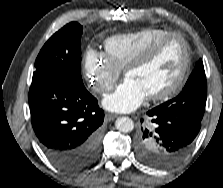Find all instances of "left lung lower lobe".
Here are the masks:
<instances>
[{
    "label": "left lung lower lobe",
    "mask_w": 223,
    "mask_h": 188,
    "mask_svg": "<svg viewBox=\"0 0 223 188\" xmlns=\"http://www.w3.org/2000/svg\"><path fill=\"white\" fill-rule=\"evenodd\" d=\"M154 129L141 128L136 137L138 157L159 168L170 167L181 161L190 151L201 122L169 115L158 107L147 112Z\"/></svg>",
    "instance_id": "left-lung-lower-lobe-1"
}]
</instances>
